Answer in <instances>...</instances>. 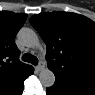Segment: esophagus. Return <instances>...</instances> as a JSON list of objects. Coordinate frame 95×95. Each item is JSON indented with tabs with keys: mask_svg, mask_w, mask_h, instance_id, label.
<instances>
[{
	"mask_svg": "<svg viewBox=\"0 0 95 95\" xmlns=\"http://www.w3.org/2000/svg\"><path fill=\"white\" fill-rule=\"evenodd\" d=\"M35 68L37 71H41L45 68V64L43 62H40Z\"/></svg>",
	"mask_w": 95,
	"mask_h": 95,
	"instance_id": "1",
	"label": "esophagus"
}]
</instances>
